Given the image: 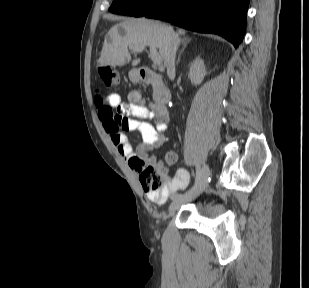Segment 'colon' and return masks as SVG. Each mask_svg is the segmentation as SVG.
<instances>
[{
    "label": "colon",
    "instance_id": "colon-1",
    "mask_svg": "<svg viewBox=\"0 0 309 288\" xmlns=\"http://www.w3.org/2000/svg\"><path fill=\"white\" fill-rule=\"evenodd\" d=\"M99 78L101 83L107 88H115L120 84V79L117 71L110 66H101L98 69ZM97 104L99 106V113L105 114L112 119L113 123L122 126L128 119V113L122 107H118L116 110L108 105L102 97L97 98ZM142 169L139 171L140 183L147 192L157 193L164 186V180L166 178V169L155 168L156 166L152 162H148V167L143 169V163L138 162Z\"/></svg>",
    "mask_w": 309,
    "mask_h": 288
}]
</instances>
